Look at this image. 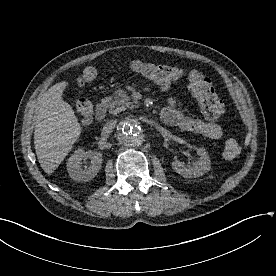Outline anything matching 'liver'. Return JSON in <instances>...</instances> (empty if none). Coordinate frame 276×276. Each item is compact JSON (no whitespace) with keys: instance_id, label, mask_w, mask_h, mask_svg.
I'll list each match as a JSON object with an SVG mask.
<instances>
[{"instance_id":"obj_1","label":"liver","mask_w":276,"mask_h":276,"mask_svg":"<svg viewBox=\"0 0 276 276\" xmlns=\"http://www.w3.org/2000/svg\"><path fill=\"white\" fill-rule=\"evenodd\" d=\"M68 82L50 87L35 108L34 145L40 166L51 175L81 135L82 127L71 105L62 98Z\"/></svg>"}]
</instances>
